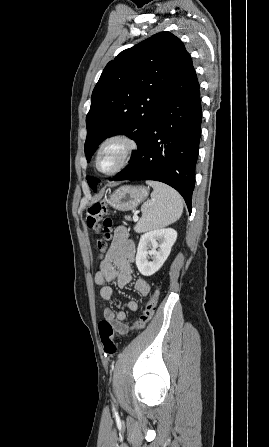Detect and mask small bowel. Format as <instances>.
<instances>
[{
	"label": "small bowel",
	"mask_w": 269,
	"mask_h": 447,
	"mask_svg": "<svg viewBox=\"0 0 269 447\" xmlns=\"http://www.w3.org/2000/svg\"><path fill=\"white\" fill-rule=\"evenodd\" d=\"M135 252V245L128 238L126 228L118 227L112 244L95 275V282L101 286L100 296L102 299L110 300L114 297L113 289L108 285L109 283H114L118 288H124L131 282L132 262L135 258ZM133 285L140 296H147L150 293V285L143 279L134 280ZM126 305L130 311H137L138 309L136 300H129ZM103 317L112 322V328L116 329L118 333L124 334L127 332L128 327L124 324L125 311L115 312L107 308L103 312Z\"/></svg>",
	"instance_id": "small-bowel-1"
}]
</instances>
